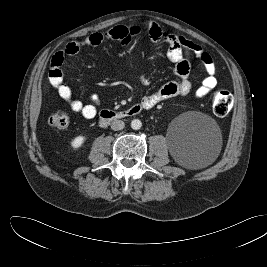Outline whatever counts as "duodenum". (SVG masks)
Segmentation results:
<instances>
[{"instance_id":"1","label":"duodenum","mask_w":267,"mask_h":267,"mask_svg":"<svg viewBox=\"0 0 267 267\" xmlns=\"http://www.w3.org/2000/svg\"><path fill=\"white\" fill-rule=\"evenodd\" d=\"M142 110H144L143 106L141 104H135L127 109L124 110H103L100 113V123L106 124L112 121L125 119L129 117H133L138 115Z\"/></svg>"}]
</instances>
